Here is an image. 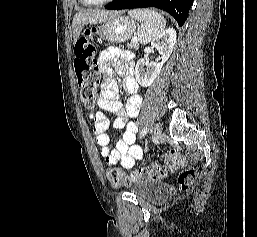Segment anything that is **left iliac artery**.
Instances as JSON below:
<instances>
[{
	"mask_svg": "<svg viewBox=\"0 0 257 237\" xmlns=\"http://www.w3.org/2000/svg\"><path fill=\"white\" fill-rule=\"evenodd\" d=\"M147 133V127L141 131V137H144Z\"/></svg>",
	"mask_w": 257,
	"mask_h": 237,
	"instance_id": "obj_1",
	"label": "left iliac artery"
}]
</instances>
